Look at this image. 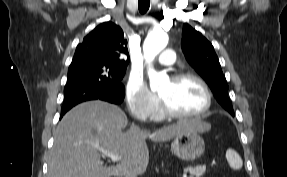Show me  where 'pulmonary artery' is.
Instances as JSON below:
<instances>
[{
    "mask_svg": "<svg viewBox=\"0 0 287 177\" xmlns=\"http://www.w3.org/2000/svg\"><path fill=\"white\" fill-rule=\"evenodd\" d=\"M175 61V53L174 50L169 48L162 51L158 58V64L163 66L172 65Z\"/></svg>",
    "mask_w": 287,
    "mask_h": 177,
    "instance_id": "pulmonary-artery-1",
    "label": "pulmonary artery"
}]
</instances>
